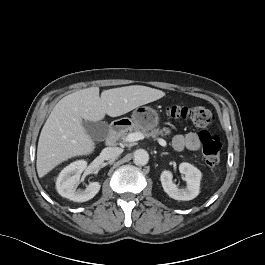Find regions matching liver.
I'll use <instances>...</instances> for the list:
<instances>
[{"label":"liver","mask_w":265,"mask_h":265,"mask_svg":"<svg viewBox=\"0 0 265 265\" xmlns=\"http://www.w3.org/2000/svg\"><path fill=\"white\" fill-rule=\"evenodd\" d=\"M161 90L131 85L105 90L98 87L76 91L63 97L46 120L38 141L37 173L40 178L62 162L89 155L95 143L83 126L85 121L98 122L105 117L123 115L139 106L162 98Z\"/></svg>","instance_id":"liver-1"}]
</instances>
